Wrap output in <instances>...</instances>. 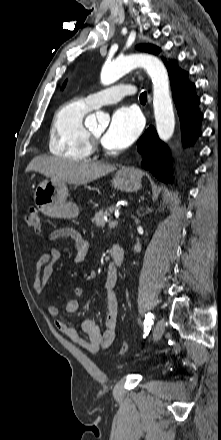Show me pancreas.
Returning a JSON list of instances; mask_svg holds the SVG:
<instances>
[{"label": "pancreas", "instance_id": "pancreas-1", "mask_svg": "<svg viewBox=\"0 0 221 440\" xmlns=\"http://www.w3.org/2000/svg\"><path fill=\"white\" fill-rule=\"evenodd\" d=\"M115 208L109 207L105 209H101L98 212L95 213L94 217L92 218V223L96 224L97 227H104L105 225V217L109 216Z\"/></svg>", "mask_w": 221, "mask_h": 440}]
</instances>
